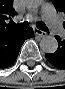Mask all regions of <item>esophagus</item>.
<instances>
[{
    "instance_id": "34e87169",
    "label": "esophagus",
    "mask_w": 65,
    "mask_h": 89,
    "mask_svg": "<svg viewBox=\"0 0 65 89\" xmlns=\"http://www.w3.org/2000/svg\"><path fill=\"white\" fill-rule=\"evenodd\" d=\"M34 34L41 37V38L47 36L46 32H43V31L38 30V29H34Z\"/></svg>"
}]
</instances>
